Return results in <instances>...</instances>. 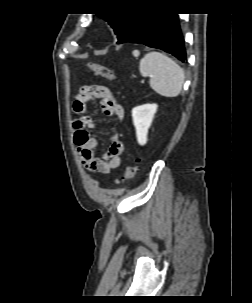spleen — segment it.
<instances>
[{"label":"spleen","instance_id":"1","mask_svg":"<svg viewBox=\"0 0 252 303\" xmlns=\"http://www.w3.org/2000/svg\"><path fill=\"white\" fill-rule=\"evenodd\" d=\"M143 77H151V88L164 97H176L182 90L185 75L183 69L163 53H147L139 63Z\"/></svg>","mask_w":252,"mask_h":303}]
</instances>
